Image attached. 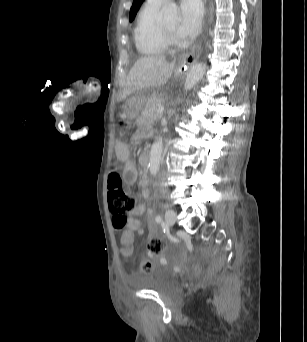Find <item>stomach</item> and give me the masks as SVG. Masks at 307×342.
<instances>
[{"mask_svg": "<svg viewBox=\"0 0 307 342\" xmlns=\"http://www.w3.org/2000/svg\"><path fill=\"white\" fill-rule=\"evenodd\" d=\"M185 64L180 63L177 65L174 76L177 77L184 72ZM144 97H132L126 101V103L122 106L121 118L123 121H131L135 117H137L142 111V106L144 103Z\"/></svg>", "mask_w": 307, "mask_h": 342, "instance_id": "1", "label": "stomach"}]
</instances>
